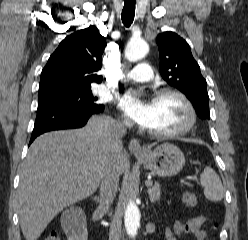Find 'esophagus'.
Instances as JSON below:
<instances>
[{"instance_id": "1", "label": "esophagus", "mask_w": 248, "mask_h": 240, "mask_svg": "<svg viewBox=\"0 0 248 240\" xmlns=\"http://www.w3.org/2000/svg\"><path fill=\"white\" fill-rule=\"evenodd\" d=\"M129 150L131 153L137 155L145 153V150L142 148L139 140L137 139H131V141L129 142Z\"/></svg>"}]
</instances>
